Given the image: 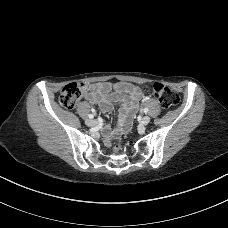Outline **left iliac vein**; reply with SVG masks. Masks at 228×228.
Masks as SVG:
<instances>
[{
    "instance_id": "obj_1",
    "label": "left iliac vein",
    "mask_w": 228,
    "mask_h": 228,
    "mask_svg": "<svg viewBox=\"0 0 228 228\" xmlns=\"http://www.w3.org/2000/svg\"><path fill=\"white\" fill-rule=\"evenodd\" d=\"M150 122V117L148 116V115H146V116H144L143 118H142V121H141V123H142V125H147L148 123Z\"/></svg>"
}]
</instances>
